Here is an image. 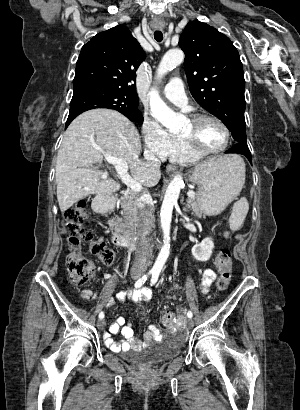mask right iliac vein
<instances>
[{
    "mask_svg": "<svg viewBox=\"0 0 300 410\" xmlns=\"http://www.w3.org/2000/svg\"><path fill=\"white\" fill-rule=\"evenodd\" d=\"M138 276H139V274H138L137 272L132 273V278H133V279H137ZM105 326H106V324H105V321H104V320H99V321L97 322V327H98L100 330H104Z\"/></svg>",
    "mask_w": 300,
    "mask_h": 410,
    "instance_id": "right-iliac-vein-1",
    "label": "right iliac vein"
}]
</instances>
